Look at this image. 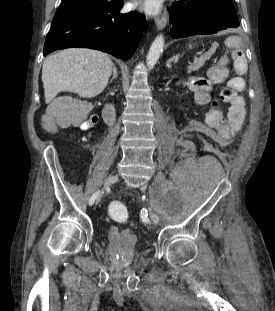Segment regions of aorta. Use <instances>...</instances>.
Here are the masks:
<instances>
[{
  "label": "aorta",
  "mask_w": 275,
  "mask_h": 311,
  "mask_svg": "<svg viewBox=\"0 0 275 311\" xmlns=\"http://www.w3.org/2000/svg\"><path fill=\"white\" fill-rule=\"evenodd\" d=\"M163 47H164V37L163 35L160 34L153 41L147 55V66L149 69H152L157 63L162 53Z\"/></svg>",
  "instance_id": "762f6f07"
}]
</instances>
